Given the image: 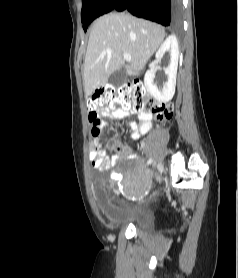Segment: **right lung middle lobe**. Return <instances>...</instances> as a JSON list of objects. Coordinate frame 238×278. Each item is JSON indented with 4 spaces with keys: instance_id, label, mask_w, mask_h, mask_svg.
<instances>
[{
    "instance_id": "1",
    "label": "right lung middle lobe",
    "mask_w": 238,
    "mask_h": 278,
    "mask_svg": "<svg viewBox=\"0 0 238 278\" xmlns=\"http://www.w3.org/2000/svg\"><path fill=\"white\" fill-rule=\"evenodd\" d=\"M102 0H83L82 10H81V21L83 23L84 31L87 30L88 25L90 24L91 14L94 8L101 2Z\"/></svg>"
}]
</instances>
